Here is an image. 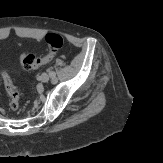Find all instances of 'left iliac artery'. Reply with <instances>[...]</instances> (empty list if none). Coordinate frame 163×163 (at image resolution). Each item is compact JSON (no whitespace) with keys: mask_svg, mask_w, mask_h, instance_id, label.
I'll use <instances>...</instances> for the list:
<instances>
[{"mask_svg":"<svg viewBox=\"0 0 163 163\" xmlns=\"http://www.w3.org/2000/svg\"><path fill=\"white\" fill-rule=\"evenodd\" d=\"M49 75L52 79H54L56 77V73L52 70V69H48Z\"/></svg>","mask_w":163,"mask_h":163,"instance_id":"44dca946","label":"left iliac artery"}]
</instances>
